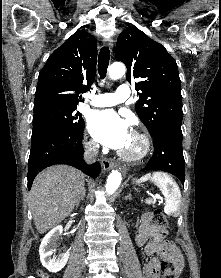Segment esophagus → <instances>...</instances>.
Masks as SVG:
<instances>
[{"mask_svg":"<svg viewBox=\"0 0 221 278\" xmlns=\"http://www.w3.org/2000/svg\"><path fill=\"white\" fill-rule=\"evenodd\" d=\"M104 45L112 47L113 41L111 39H104ZM102 167L104 170L108 171L116 167V162L113 160L103 158L102 159Z\"/></svg>","mask_w":221,"mask_h":278,"instance_id":"34e87169","label":"esophagus"}]
</instances>
